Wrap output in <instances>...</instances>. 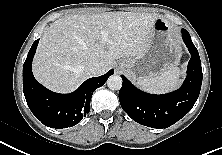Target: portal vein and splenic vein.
Here are the masks:
<instances>
[{
    "mask_svg": "<svg viewBox=\"0 0 222 155\" xmlns=\"http://www.w3.org/2000/svg\"><path fill=\"white\" fill-rule=\"evenodd\" d=\"M100 34H101V37H102V42H103V43L107 42L108 33H107L105 30H102V31L100 32Z\"/></svg>",
    "mask_w": 222,
    "mask_h": 155,
    "instance_id": "portal-vein-and-splenic-vein-1",
    "label": "portal vein and splenic vein"
}]
</instances>
